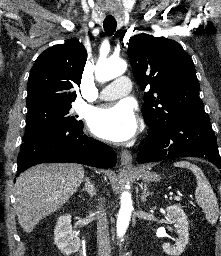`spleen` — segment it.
<instances>
[{"mask_svg":"<svg viewBox=\"0 0 221 256\" xmlns=\"http://www.w3.org/2000/svg\"><path fill=\"white\" fill-rule=\"evenodd\" d=\"M174 166L190 169L194 173L197 179V187L195 190L196 201L205 212L206 219L211 224H215L219 216L218 202L216 195L202 170L197 165L188 161L175 162Z\"/></svg>","mask_w":221,"mask_h":256,"instance_id":"spleen-1","label":"spleen"}]
</instances>
